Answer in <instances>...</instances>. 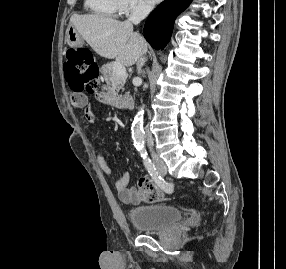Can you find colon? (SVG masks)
<instances>
[{
  "mask_svg": "<svg viewBox=\"0 0 286 269\" xmlns=\"http://www.w3.org/2000/svg\"><path fill=\"white\" fill-rule=\"evenodd\" d=\"M66 57L64 70L72 89L93 93L98 84V67L90 50L72 48L67 51ZM138 189L141 198L146 201L158 202L164 199L162 190L145 176L139 178Z\"/></svg>",
  "mask_w": 286,
  "mask_h": 269,
  "instance_id": "1",
  "label": "colon"
}]
</instances>
